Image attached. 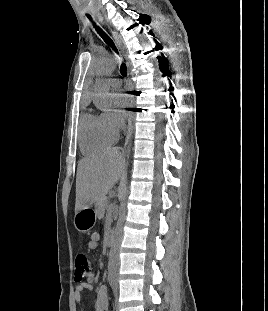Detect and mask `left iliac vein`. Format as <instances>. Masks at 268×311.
I'll return each instance as SVG.
<instances>
[{"label": "left iliac vein", "mask_w": 268, "mask_h": 311, "mask_svg": "<svg viewBox=\"0 0 268 311\" xmlns=\"http://www.w3.org/2000/svg\"><path fill=\"white\" fill-rule=\"evenodd\" d=\"M115 308H116V311H119L118 295H117V294H116V296H115Z\"/></svg>", "instance_id": "left-iliac-vein-1"}]
</instances>
